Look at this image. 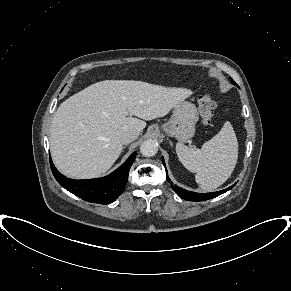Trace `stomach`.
<instances>
[{"label": "stomach", "mask_w": 291, "mask_h": 291, "mask_svg": "<svg viewBox=\"0 0 291 291\" xmlns=\"http://www.w3.org/2000/svg\"><path fill=\"white\" fill-rule=\"evenodd\" d=\"M198 121L196 106L188 101H181L173 110L169 121L162 125L163 131L183 143L195 134V124Z\"/></svg>", "instance_id": "obj_1"}]
</instances>
